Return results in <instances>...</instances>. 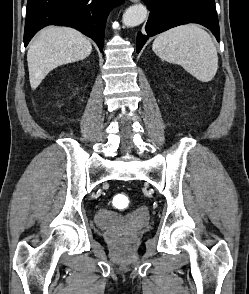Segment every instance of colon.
I'll return each instance as SVG.
<instances>
[{
	"label": "colon",
	"instance_id": "obj_1",
	"mask_svg": "<svg viewBox=\"0 0 249 294\" xmlns=\"http://www.w3.org/2000/svg\"><path fill=\"white\" fill-rule=\"evenodd\" d=\"M116 206L127 207L130 204V199L127 195H116L113 199Z\"/></svg>",
	"mask_w": 249,
	"mask_h": 294
}]
</instances>
